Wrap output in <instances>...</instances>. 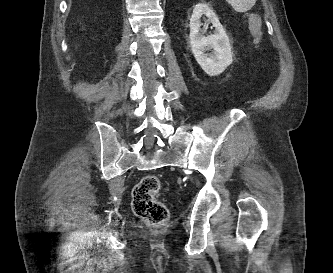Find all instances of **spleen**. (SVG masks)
<instances>
[{
  "instance_id": "spleen-1",
  "label": "spleen",
  "mask_w": 333,
  "mask_h": 273,
  "mask_svg": "<svg viewBox=\"0 0 333 273\" xmlns=\"http://www.w3.org/2000/svg\"><path fill=\"white\" fill-rule=\"evenodd\" d=\"M226 1L237 12H246L250 10L256 3V0H226Z\"/></svg>"
}]
</instances>
